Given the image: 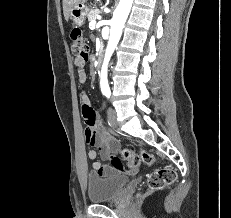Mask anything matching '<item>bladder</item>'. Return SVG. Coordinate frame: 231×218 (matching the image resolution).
I'll return each mask as SVG.
<instances>
[{
  "label": "bladder",
  "mask_w": 231,
  "mask_h": 218,
  "mask_svg": "<svg viewBox=\"0 0 231 218\" xmlns=\"http://www.w3.org/2000/svg\"><path fill=\"white\" fill-rule=\"evenodd\" d=\"M128 183L124 176H99L90 174L88 177L87 195L91 203H102L117 198Z\"/></svg>",
  "instance_id": "31cf9c89"
}]
</instances>
